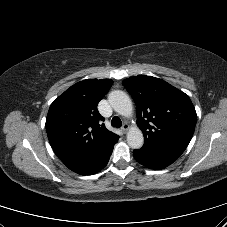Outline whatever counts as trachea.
I'll list each match as a JSON object with an SVG mask.
<instances>
[{"instance_id": "3493384b", "label": "trachea", "mask_w": 227, "mask_h": 227, "mask_svg": "<svg viewBox=\"0 0 227 227\" xmlns=\"http://www.w3.org/2000/svg\"><path fill=\"white\" fill-rule=\"evenodd\" d=\"M111 125L116 128H120L122 126L121 119L118 116H114L111 120Z\"/></svg>"}]
</instances>
